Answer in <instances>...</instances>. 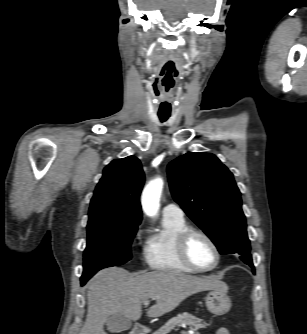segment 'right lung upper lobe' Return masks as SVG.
I'll return each mask as SVG.
<instances>
[{"label":"right lung upper lobe","mask_w":307,"mask_h":334,"mask_svg":"<svg viewBox=\"0 0 307 334\" xmlns=\"http://www.w3.org/2000/svg\"><path fill=\"white\" fill-rule=\"evenodd\" d=\"M145 181L140 161L135 156L113 160L104 168L90 202L89 220L93 222H141L139 201Z\"/></svg>","instance_id":"obj_1"}]
</instances>
